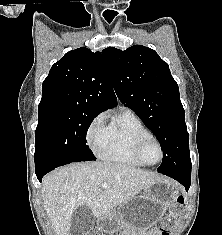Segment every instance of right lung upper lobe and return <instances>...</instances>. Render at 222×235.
I'll return each mask as SVG.
<instances>
[{"instance_id":"1","label":"right lung upper lobe","mask_w":222,"mask_h":235,"mask_svg":"<svg viewBox=\"0 0 222 235\" xmlns=\"http://www.w3.org/2000/svg\"><path fill=\"white\" fill-rule=\"evenodd\" d=\"M116 105L102 54L83 47L67 52L52 65L43 81L38 110L68 108L100 113Z\"/></svg>"}]
</instances>
